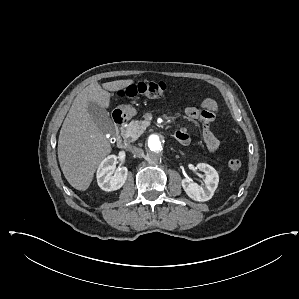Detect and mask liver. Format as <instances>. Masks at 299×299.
Returning a JSON list of instances; mask_svg holds the SVG:
<instances>
[{
    "label": "liver",
    "instance_id": "liver-1",
    "mask_svg": "<svg viewBox=\"0 0 299 299\" xmlns=\"http://www.w3.org/2000/svg\"><path fill=\"white\" fill-rule=\"evenodd\" d=\"M134 81L116 80L88 85L75 98L60 130L58 159L69 184L77 190L89 188L94 173L112 148L88 111L89 102L102 108L110 105V93L122 90Z\"/></svg>",
    "mask_w": 299,
    "mask_h": 299
}]
</instances>
